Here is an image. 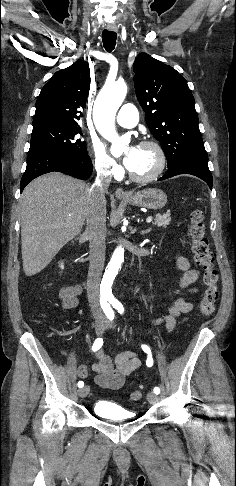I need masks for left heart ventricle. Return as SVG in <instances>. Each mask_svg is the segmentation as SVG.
Wrapping results in <instances>:
<instances>
[{
    "label": "left heart ventricle",
    "instance_id": "obj_1",
    "mask_svg": "<svg viewBox=\"0 0 236 486\" xmlns=\"http://www.w3.org/2000/svg\"><path fill=\"white\" fill-rule=\"evenodd\" d=\"M157 163V153L153 148L138 147V154L130 171L140 176L148 175L156 168Z\"/></svg>",
    "mask_w": 236,
    "mask_h": 486
}]
</instances>
